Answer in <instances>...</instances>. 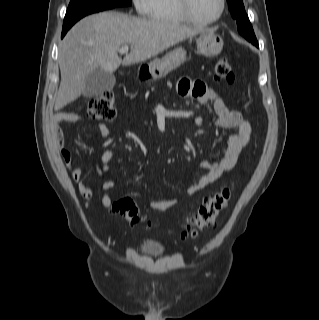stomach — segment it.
Returning <instances> with one entry per match:
<instances>
[{
	"mask_svg": "<svg viewBox=\"0 0 319 320\" xmlns=\"http://www.w3.org/2000/svg\"><path fill=\"white\" fill-rule=\"evenodd\" d=\"M223 39L215 34L213 30H206L199 33L196 38L197 52L207 57H214L220 54L223 49ZM186 60V51L176 47L161 59L152 60L148 66V75L153 79H162L169 72L178 68Z\"/></svg>",
	"mask_w": 319,
	"mask_h": 320,
	"instance_id": "obj_1",
	"label": "stomach"
}]
</instances>
